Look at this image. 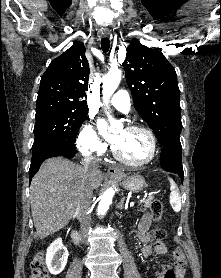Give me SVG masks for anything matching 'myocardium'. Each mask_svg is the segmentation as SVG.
Here are the masks:
<instances>
[{"label":"myocardium","instance_id":"myocardium-1","mask_svg":"<svg viewBox=\"0 0 221 278\" xmlns=\"http://www.w3.org/2000/svg\"><path fill=\"white\" fill-rule=\"evenodd\" d=\"M126 130L128 131H139L142 132L144 134H146L150 140V146H151V152H150V156L141 162H134V161H130L128 159H126L125 157H123L116 149V147L112 148V154L113 156L120 162H122L125 165H128L130 167H134V168H141L144 167L148 164H150L151 162H153L157 156V141H156V137L153 134V132L151 130H149L146 127L143 126H139V125H129L126 127Z\"/></svg>","mask_w":221,"mask_h":278}]
</instances>
